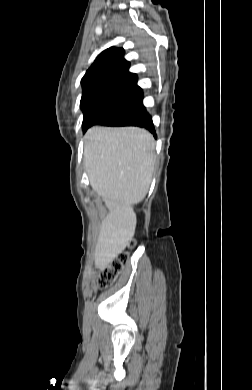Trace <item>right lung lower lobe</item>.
Returning <instances> with one entry per match:
<instances>
[{
  "label": "right lung lower lobe",
  "instance_id": "1",
  "mask_svg": "<svg viewBox=\"0 0 252 390\" xmlns=\"http://www.w3.org/2000/svg\"><path fill=\"white\" fill-rule=\"evenodd\" d=\"M102 125L106 126H138L149 130L156 137L151 116L147 113L142 101L129 109L110 118Z\"/></svg>",
  "mask_w": 252,
  "mask_h": 390
}]
</instances>
